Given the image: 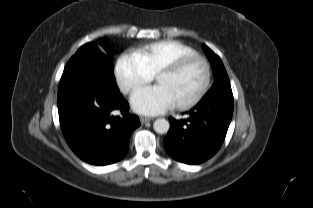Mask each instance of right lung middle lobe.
<instances>
[{
	"label": "right lung middle lobe",
	"instance_id": "obj_1",
	"mask_svg": "<svg viewBox=\"0 0 313 208\" xmlns=\"http://www.w3.org/2000/svg\"><path fill=\"white\" fill-rule=\"evenodd\" d=\"M103 44V42H100ZM108 54H110V50L108 47H105ZM87 58L91 59L103 67L106 72L113 73L114 67L111 60V57L105 54L95 43L90 42L83 45L76 54L69 60L65 69L71 67V65L79 59Z\"/></svg>",
	"mask_w": 313,
	"mask_h": 208
}]
</instances>
